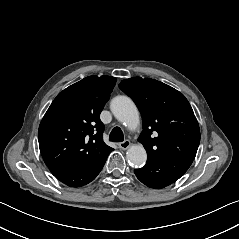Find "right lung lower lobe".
I'll list each match as a JSON object with an SVG mask.
<instances>
[{
  "mask_svg": "<svg viewBox=\"0 0 239 239\" xmlns=\"http://www.w3.org/2000/svg\"><path fill=\"white\" fill-rule=\"evenodd\" d=\"M109 153H106L105 156H103L102 158H100L95 163L89 166L51 167L49 168V170L59 181L66 184L67 186L80 187L90 183L92 180L96 178V176L102 170Z\"/></svg>",
  "mask_w": 239,
  "mask_h": 239,
  "instance_id": "98d812e1",
  "label": "right lung lower lobe"
}]
</instances>
